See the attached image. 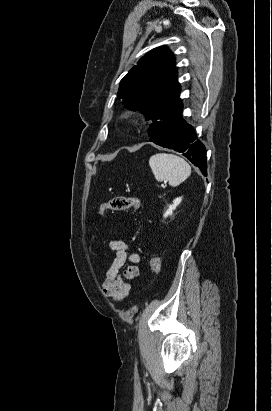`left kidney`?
<instances>
[{
	"label": "left kidney",
	"instance_id": "1",
	"mask_svg": "<svg viewBox=\"0 0 272 411\" xmlns=\"http://www.w3.org/2000/svg\"><path fill=\"white\" fill-rule=\"evenodd\" d=\"M182 197H178L173 201V204H170L167 211L164 213V217L172 216L173 211L176 209V207L181 203Z\"/></svg>",
	"mask_w": 272,
	"mask_h": 411
}]
</instances>
